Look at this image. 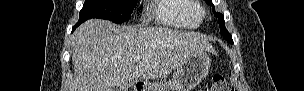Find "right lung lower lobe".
Instances as JSON below:
<instances>
[{
  "label": "right lung lower lobe",
  "mask_w": 304,
  "mask_h": 91,
  "mask_svg": "<svg viewBox=\"0 0 304 91\" xmlns=\"http://www.w3.org/2000/svg\"><path fill=\"white\" fill-rule=\"evenodd\" d=\"M82 22L78 21V23L73 27L72 32L78 27Z\"/></svg>",
  "instance_id": "right-lung-lower-lobe-1"
}]
</instances>
